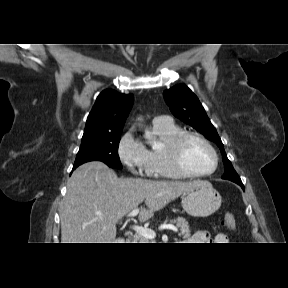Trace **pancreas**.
Masks as SVG:
<instances>
[{"instance_id":"cf45deb5","label":"pancreas","mask_w":288,"mask_h":288,"mask_svg":"<svg viewBox=\"0 0 288 288\" xmlns=\"http://www.w3.org/2000/svg\"><path fill=\"white\" fill-rule=\"evenodd\" d=\"M171 223H175L176 226L180 229L179 236L183 239H187L190 237V229L188 222L183 217H178L177 219L170 220ZM134 243H147V239L141 235H136L134 238Z\"/></svg>"}]
</instances>
